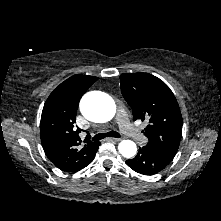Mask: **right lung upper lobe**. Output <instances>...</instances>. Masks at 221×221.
Wrapping results in <instances>:
<instances>
[{
    "label": "right lung upper lobe",
    "instance_id": "right-lung-upper-lobe-1",
    "mask_svg": "<svg viewBox=\"0 0 221 221\" xmlns=\"http://www.w3.org/2000/svg\"><path fill=\"white\" fill-rule=\"evenodd\" d=\"M88 75H74L61 83L48 97L41 116L43 149L55 166L75 172L87 166L99 142L82 143L80 129L74 127L79 101L97 80Z\"/></svg>",
    "mask_w": 221,
    "mask_h": 221
}]
</instances>
